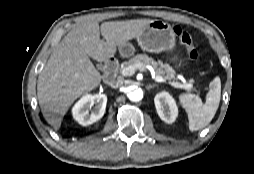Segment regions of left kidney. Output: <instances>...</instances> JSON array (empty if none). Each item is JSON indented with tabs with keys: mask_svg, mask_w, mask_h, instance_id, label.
<instances>
[{
	"mask_svg": "<svg viewBox=\"0 0 254 174\" xmlns=\"http://www.w3.org/2000/svg\"><path fill=\"white\" fill-rule=\"evenodd\" d=\"M155 107L161 120L172 124L178 116V107L174 98L166 91L156 94Z\"/></svg>",
	"mask_w": 254,
	"mask_h": 174,
	"instance_id": "1",
	"label": "left kidney"
}]
</instances>
